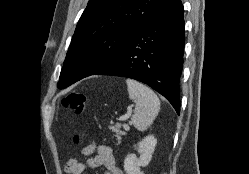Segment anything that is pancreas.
<instances>
[{
  "instance_id": "1",
  "label": "pancreas",
  "mask_w": 249,
  "mask_h": 174,
  "mask_svg": "<svg viewBox=\"0 0 249 174\" xmlns=\"http://www.w3.org/2000/svg\"><path fill=\"white\" fill-rule=\"evenodd\" d=\"M120 124H116L114 126H109V129L114 132V137L117 138L118 141L121 140V136L125 134V132L120 130Z\"/></svg>"
}]
</instances>
